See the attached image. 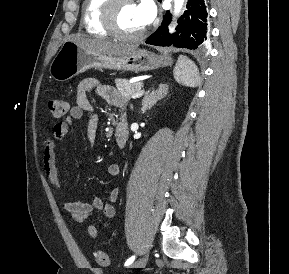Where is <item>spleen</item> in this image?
<instances>
[{
	"instance_id": "3e777b00",
	"label": "spleen",
	"mask_w": 289,
	"mask_h": 274,
	"mask_svg": "<svg viewBox=\"0 0 289 274\" xmlns=\"http://www.w3.org/2000/svg\"><path fill=\"white\" fill-rule=\"evenodd\" d=\"M175 80L184 86L196 87L199 84V71L195 63L184 55H180L174 68Z\"/></svg>"
}]
</instances>
